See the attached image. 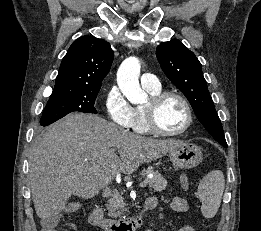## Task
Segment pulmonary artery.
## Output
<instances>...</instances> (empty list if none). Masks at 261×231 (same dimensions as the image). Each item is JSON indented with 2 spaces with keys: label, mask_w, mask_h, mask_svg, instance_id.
I'll list each match as a JSON object with an SVG mask.
<instances>
[{
  "label": "pulmonary artery",
  "mask_w": 261,
  "mask_h": 231,
  "mask_svg": "<svg viewBox=\"0 0 261 231\" xmlns=\"http://www.w3.org/2000/svg\"><path fill=\"white\" fill-rule=\"evenodd\" d=\"M141 84L146 89H160V83L153 73L144 72L141 76Z\"/></svg>",
  "instance_id": "1"
}]
</instances>
